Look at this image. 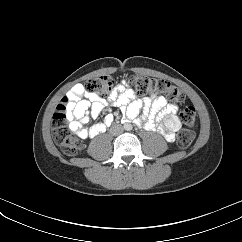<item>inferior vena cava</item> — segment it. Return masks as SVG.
<instances>
[{
	"mask_svg": "<svg viewBox=\"0 0 242 242\" xmlns=\"http://www.w3.org/2000/svg\"><path fill=\"white\" fill-rule=\"evenodd\" d=\"M111 133L114 135L121 134L123 132V127L121 125H115L111 128Z\"/></svg>",
	"mask_w": 242,
	"mask_h": 242,
	"instance_id": "obj_1",
	"label": "inferior vena cava"
}]
</instances>
